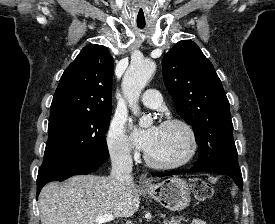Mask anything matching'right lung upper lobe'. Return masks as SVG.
Returning <instances> with one entry per match:
<instances>
[{"label":"right lung upper lobe","mask_w":275,"mask_h":224,"mask_svg":"<svg viewBox=\"0 0 275 224\" xmlns=\"http://www.w3.org/2000/svg\"><path fill=\"white\" fill-rule=\"evenodd\" d=\"M113 59L105 46L84 47L64 71L50 116L60 113L112 112Z\"/></svg>","instance_id":"1"}]
</instances>
